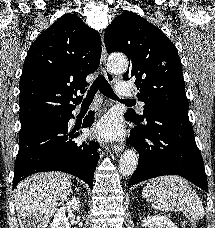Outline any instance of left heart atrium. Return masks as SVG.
I'll use <instances>...</instances> for the list:
<instances>
[{
    "label": "left heart atrium",
    "mask_w": 215,
    "mask_h": 228,
    "mask_svg": "<svg viewBox=\"0 0 215 228\" xmlns=\"http://www.w3.org/2000/svg\"><path fill=\"white\" fill-rule=\"evenodd\" d=\"M91 132L100 140L117 141L123 137L124 129L117 115L107 113L94 124Z\"/></svg>",
    "instance_id": "39dd6f15"
}]
</instances>
